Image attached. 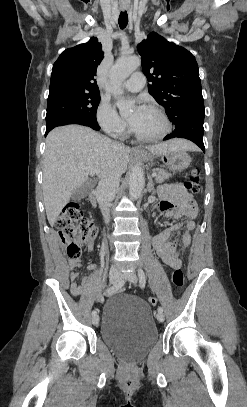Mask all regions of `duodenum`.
Returning a JSON list of instances; mask_svg holds the SVG:
<instances>
[{"mask_svg": "<svg viewBox=\"0 0 247 407\" xmlns=\"http://www.w3.org/2000/svg\"><path fill=\"white\" fill-rule=\"evenodd\" d=\"M89 201L95 206V207H101L102 202H101V197L100 193L97 190H93L90 195H89Z\"/></svg>", "mask_w": 247, "mask_h": 407, "instance_id": "1", "label": "duodenum"}]
</instances>
